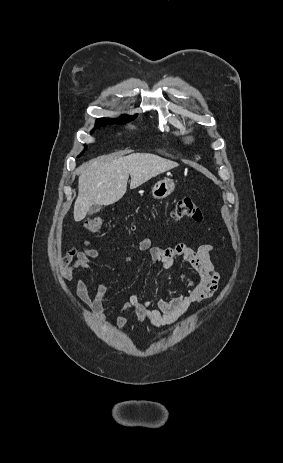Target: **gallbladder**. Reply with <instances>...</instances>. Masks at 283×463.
Listing matches in <instances>:
<instances>
[{"label": "gallbladder", "instance_id": "gallbladder-1", "mask_svg": "<svg viewBox=\"0 0 283 463\" xmlns=\"http://www.w3.org/2000/svg\"><path fill=\"white\" fill-rule=\"evenodd\" d=\"M101 206L100 205H94L90 208L89 212H88V215H93L97 212H99L101 210Z\"/></svg>", "mask_w": 283, "mask_h": 463}]
</instances>
